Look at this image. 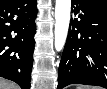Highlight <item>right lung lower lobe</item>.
Returning a JSON list of instances; mask_svg holds the SVG:
<instances>
[{
  "instance_id": "1",
  "label": "right lung lower lobe",
  "mask_w": 107,
  "mask_h": 89,
  "mask_svg": "<svg viewBox=\"0 0 107 89\" xmlns=\"http://www.w3.org/2000/svg\"><path fill=\"white\" fill-rule=\"evenodd\" d=\"M36 15V0H0V77L22 89L30 88Z\"/></svg>"
}]
</instances>
